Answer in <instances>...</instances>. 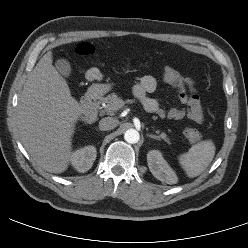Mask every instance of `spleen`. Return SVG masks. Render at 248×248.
<instances>
[{
    "label": "spleen",
    "instance_id": "1",
    "mask_svg": "<svg viewBox=\"0 0 248 248\" xmlns=\"http://www.w3.org/2000/svg\"><path fill=\"white\" fill-rule=\"evenodd\" d=\"M215 155V145L211 140L193 145L187 153L179 156V163L190 178L197 177L205 171Z\"/></svg>",
    "mask_w": 248,
    "mask_h": 248
}]
</instances>
